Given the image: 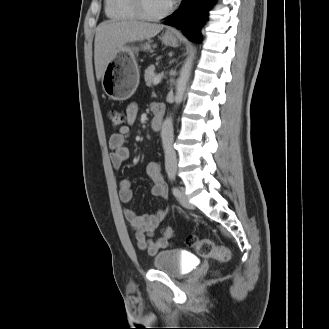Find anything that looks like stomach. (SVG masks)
Instances as JSON below:
<instances>
[{
	"instance_id": "1",
	"label": "stomach",
	"mask_w": 329,
	"mask_h": 329,
	"mask_svg": "<svg viewBox=\"0 0 329 329\" xmlns=\"http://www.w3.org/2000/svg\"><path fill=\"white\" fill-rule=\"evenodd\" d=\"M162 42L171 47L178 45L175 35L166 32L162 36ZM145 50L150 49V41L141 44ZM136 46L123 45L117 51L114 59L110 61L102 76V87L105 94L112 100L124 101L129 99L139 85V68L135 59Z\"/></svg>"
}]
</instances>
